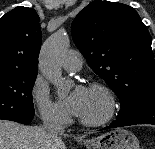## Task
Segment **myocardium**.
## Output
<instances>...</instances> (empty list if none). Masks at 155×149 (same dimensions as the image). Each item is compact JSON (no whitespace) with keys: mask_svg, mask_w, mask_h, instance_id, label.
Returning <instances> with one entry per match:
<instances>
[{"mask_svg":"<svg viewBox=\"0 0 155 149\" xmlns=\"http://www.w3.org/2000/svg\"><path fill=\"white\" fill-rule=\"evenodd\" d=\"M90 89L99 93L104 98L106 104L105 113L98 119L88 120L80 116L78 117V119L85 126H100L107 123L113 118L117 108V98L114 92L105 84L93 83L90 86Z\"/></svg>","mask_w":155,"mask_h":149,"instance_id":"obj_1","label":"myocardium"}]
</instances>
